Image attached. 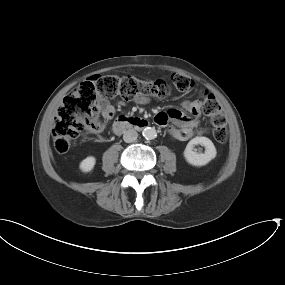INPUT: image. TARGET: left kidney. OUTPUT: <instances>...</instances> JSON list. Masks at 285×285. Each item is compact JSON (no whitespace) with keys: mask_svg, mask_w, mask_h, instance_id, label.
Listing matches in <instances>:
<instances>
[{"mask_svg":"<svg viewBox=\"0 0 285 285\" xmlns=\"http://www.w3.org/2000/svg\"><path fill=\"white\" fill-rule=\"evenodd\" d=\"M195 145L204 146V153L197 152ZM183 154L189 164L204 166L216 157L217 152L213 142L209 138L195 137L189 141Z\"/></svg>","mask_w":285,"mask_h":285,"instance_id":"left-kidney-1","label":"left kidney"}]
</instances>
